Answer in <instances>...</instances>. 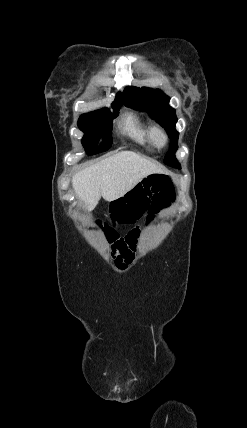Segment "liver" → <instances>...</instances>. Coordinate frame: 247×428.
I'll use <instances>...</instances> for the list:
<instances>
[{
    "label": "liver",
    "instance_id": "liver-1",
    "mask_svg": "<svg viewBox=\"0 0 247 428\" xmlns=\"http://www.w3.org/2000/svg\"><path fill=\"white\" fill-rule=\"evenodd\" d=\"M163 172L149 159L132 151H122L78 171L72 185L79 199L92 210L101 196L109 202L117 200L143 178Z\"/></svg>",
    "mask_w": 247,
    "mask_h": 428
}]
</instances>
